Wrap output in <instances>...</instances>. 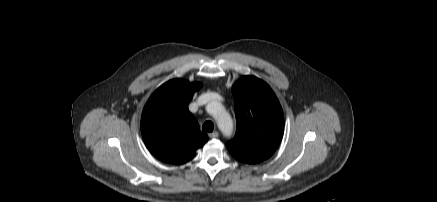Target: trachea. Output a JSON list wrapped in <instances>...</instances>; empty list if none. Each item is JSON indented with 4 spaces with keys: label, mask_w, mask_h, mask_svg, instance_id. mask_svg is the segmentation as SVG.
I'll return each mask as SVG.
<instances>
[{
    "label": "trachea",
    "mask_w": 437,
    "mask_h": 202,
    "mask_svg": "<svg viewBox=\"0 0 437 202\" xmlns=\"http://www.w3.org/2000/svg\"><path fill=\"white\" fill-rule=\"evenodd\" d=\"M214 129V124L212 121H206L204 122L203 126H202V130L205 132H212Z\"/></svg>",
    "instance_id": "3493384b"
}]
</instances>
